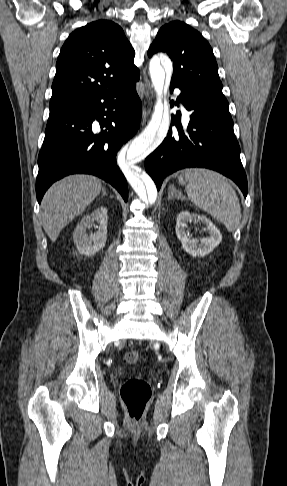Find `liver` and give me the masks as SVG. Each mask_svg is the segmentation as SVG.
I'll list each match as a JSON object with an SVG mask.
<instances>
[{
  "label": "liver",
  "instance_id": "1",
  "mask_svg": "<svg viewBox=\"0 0 287 486\" xmlns=\"http://www.w3.org/2000/svg\"><path fill=\"white\" fill-rule=\"evenodd\" d=\"M101 181L90 175H71L54 183L41 203V218L52 242L62 229L100 194Z\"/></svg>",
  "mask_w": 287,
  "mask_h": 486
}]
</instances>
